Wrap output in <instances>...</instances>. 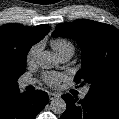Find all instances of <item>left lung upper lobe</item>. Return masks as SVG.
I'll use <instances>...</instances> for the list:
<instances>
[{
	"label": "left lung upper lobe",
	"instance_id": "5c2ea615",
	"mask_svg": "<svg viewBox=\"0 0 119 119\" xmlns=\"http://www.w3.org/2000/svg\"><path fill=\"white\" fill-rule=\"evenodd\" d=\"M52 36L71 38L79 44L82 67L74 79L77 83H87L89 92L119 96L118 29L105 23L78 19L58 24Z\"/></svg>",
	"mask_w": 119,
	"mask_h": 119
}]
</instances>
